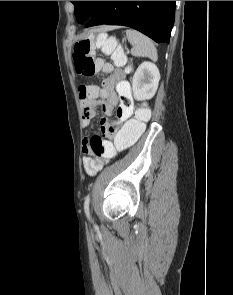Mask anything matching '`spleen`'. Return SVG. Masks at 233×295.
<instances>
[{
	"label": "spleen",
	"instance_id": "3e777b00",
	"mask_svg": "<svg viewBox=\"0 0 233 295\" xmlns=\"http://www.w3.org/2000/svg\"><path fill=\"white\" fill-rule=\"evenodd\" d=\"M126 35L128 41L133 45L132 55L157 60V50L150 38L134 29H127ZM97 44L102 47L105 54H111L115 64H120L123 59V49L114 37L107 39L105 34H100L97 38Z\"/></svg>",
	"mask_w": 233,
	"mask_h": 295
}]
</instances>
